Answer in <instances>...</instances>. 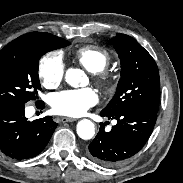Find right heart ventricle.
I'll list each match as a JSON object with an SVG mask.
<instances>
[{
  "instance_id": "e07e8e85",
  "label": "right heart ventricle",
  "mask_w": 183,
  "mask_h": 183,
  "mask_svg": "<svg viewBox=\"0 0 183 183\" xmlns=\"http://www.w3.org/2000/svg\"><path fill=\"white\" fill-rule=\"evenodd\" d=\"M76 60L89 72H102L110 62L109 52L99 46L80 47L75 53Z\"/></svg>"
}]
</instances>
